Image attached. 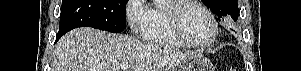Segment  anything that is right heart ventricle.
<instances>
[{"instance_id": "obj_1", "label": "right heart ventricle", "mask_w": 301, "mask_h": 71, "mask_svg": "<svg viewBox=\"0 0 301 71\" xmlns=\"http://www.w3.org/2000/svg\"><path fill=\"white\" fill-rule=\"evenodd\" d=\"M143 40L158 46L174 49L186 48L174 34L165 9L162 6L150 8L148 20L142 30Z\"/></svg>"}]
</instances>
